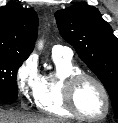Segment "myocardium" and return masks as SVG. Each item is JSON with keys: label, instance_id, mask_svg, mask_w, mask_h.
Instances as JSON below:
<instances>
[{"label": "myocardium", "instance_id": "obj_1", "mask_svg": "<svg viewBox=\"0 0 118 123\" xmlns=\"http://www.w3.org/2000/svg\"><path fill=\"white\" fill-rule=\"evenodd\" d=\"M86 80H90L94 82L99 87V89L101 90L104 96L105 103H106V109H105V112L101 116L90 117V116L83 114L80 111L76 103L77 88L82 82ZM62 88H63L64 104L66 108L74 115V117H77L84 121L95 122V121H101L105 119L110 113L111 99H110L109 92L106 86L104 85V83L100 79L95 77L94 75H91L85 72H77V73L69 74L64 78L62 82Z\"/></svg>", "mask_w": 118, "mask_h": 123}]
</instances>
